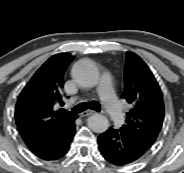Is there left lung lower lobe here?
Returning <instances> with one entry per match:
<instances>
[{
    "mask_svg": "<svg viewBox=\"0 0 184 173\" xmlns=\"http://www.w3.org/2000/svg\"><path fill=\"white\" fill-rule=\"evenodd\" d=\"M98 147L107 161L120 166L138 160L147 151L121 128H110L102 133L98 137Z\"/></svg>",
    "mask_w": 184,
    "mask_h": 173,
    "instance_id": "0a47b994",
    "label": "left lung lower lobe"
}]
</instances>
